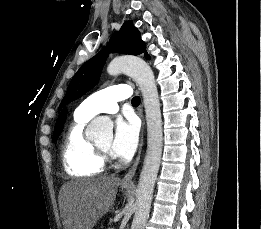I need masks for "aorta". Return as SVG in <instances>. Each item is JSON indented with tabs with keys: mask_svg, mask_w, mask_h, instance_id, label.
Here are the masks:
<instances>
[{
	"mask_svg": "<svg viewBox=\"0 0 261 229\" xmlns=\"http://www.w3.org/2000/svg\"><path fill=\"white\" fill-rule=\"evenodd\" d=\"M108 74L125 72L138 82L145 104L147 121V151L136 189L135 215L131 229H144L148 221L153 191L160 167L163 149V131L160 102L155 76L149 64L139 56H117L107 66ZM86 139L104 141L113 139V123L109 117H97L89 125Z\"/></svg>",
	"mask_w": 261,
	"mask_h": 229,
	"instance_id": "762f6f07",
	"label": "aorta"
}]
</instances>
